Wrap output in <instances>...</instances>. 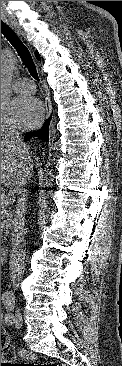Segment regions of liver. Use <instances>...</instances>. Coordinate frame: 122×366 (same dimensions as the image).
Instances as JSON below:
<instances>
[{
    "label": "liver",
    "mask_w": 122,
    "mask_h": 366,
    "mask_svg": "<svg viewBox=\"0 0 122 366\" xmlns=\"http://www.w3.org/2000/svg\"><path fill=\"white\" fill-rule=\"evenodd\" d=\"M29 152V151H28ZM23 155L19 150L7 143L5 134L1 133V184L7 187H16L24 179L27 181L32 176L34 162L32 155Z\"/></svg>",
    "instance_id": "1"
}]
</instances>
